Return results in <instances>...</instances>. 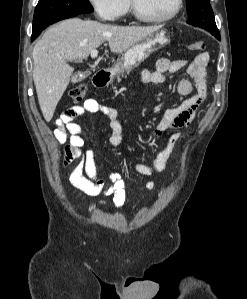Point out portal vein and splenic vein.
<instances>
[{"label": "portal vein and splenic vein", "mask_w": 247, "mask_h": 299, "mask_svg": "<svg viewBox=\"0 0 247 299\" xmlns=\"http://www.w3.org/2000/svg\"><path fill=\"white\" fill-rule=\"evenodd\" d=\"M97 54H98L97 50H96V49H93V50L91 51V58H92V59H96V58H97Z\"/></svg>", "instance_id": "obj_1"}]
</instances>
